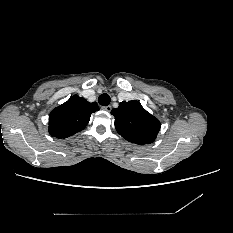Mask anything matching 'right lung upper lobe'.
Listing matches in <instances>:
<instances>
[{
	"instance_id": "obj_1",
	"label": "right lung upper lobe",
	"mask_w": 233,
	"mask_h": 233,
	"mask_svg": "<svg viewBox=\"0 0 233 233\" xmlns=\"http://www.w3.org/2000/svg\"><path fill=\"white\" fill-rule=\"evenodd\" d=\"M99 110L96 102L74 95L62 105L56 107L49 115V133L51 136L67 138L83 130L92 113Z\"/></svg>"
}]
</instances>
